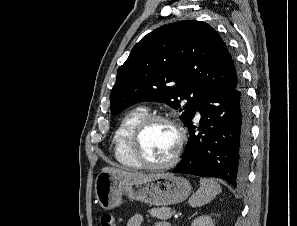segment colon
Here are the masks:
<instances>
[{"label": "colon", "mask_w": 297, "mask_h": 226, "mask_svg": "<svg viewBox=\"0 0 297 226\" xmlns=\"http://www.w3.org/2000/svg\"><path fill=\"white\" fill-rule=\"evenodd\" d=\"M100 226H117L111 214H103L100 218Z\"/></svg>", "instance_id": "obj_1"}]
</instances>
